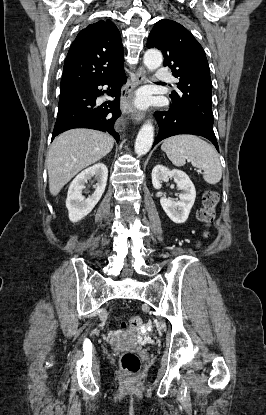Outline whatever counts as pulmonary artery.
I'll return each instance as SVG.
<instances>
[{"label": "pulmonary artery", "instance_id": "pulmonary-artery-1", "mask_svg": "<svg viewBox=\"0 0 266 415\" xmlns=\"http://www.w3.org/2000/svg\"><path fill=\"white\" fill-rule=\"evenodd\" d=\"M156 78L164 82H172L174 79L171 74L165 68H159L156 71Z\"/></svg>", "mask_w": 266, "mask_h": 415}]
</instances>
